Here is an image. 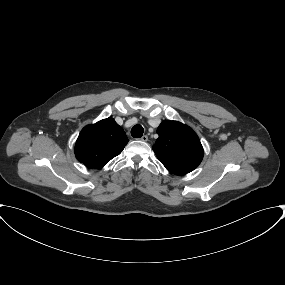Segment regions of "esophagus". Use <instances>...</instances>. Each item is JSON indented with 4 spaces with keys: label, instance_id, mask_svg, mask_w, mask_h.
Here are the masks:
<instances>
[{
    "label": "esophagus",
    "instance_id": "1",
    "mask_svg": "<svg viewBox=\"0 0 285 285\" xmlns=\"http://www.w3.org/2000/svg\"><path fill=\"white\" fill-rule=\"evenodd\" d=\"M141 141L143 142H146L148 140V136L147 135H143L141 138H140Z\"/></svg>",
    "mask_w": 285,
    "mask_h": 285
}]
</instances>
